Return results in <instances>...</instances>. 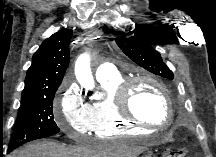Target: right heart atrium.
I'll list each match as a JSON object with an SVG mask.
<instances>
[{
    "label": "right heart atrium",
    "instance_id": "d8ad5b80",
    "mask_svg": "<svg viewBox=\"0 0 216 157\" xmlns=\"http://www.w3.org/2000/svg\"><path fill=\"white\" fill-rule=\"evenodd\" d=\"M56 123L64 133L73 138L92 131L90 105L78 87L69 80L65 81L60 89Z\"/></svg>",
    "mask_w": 216,
    "mask_h": 157
}]
</instances>
